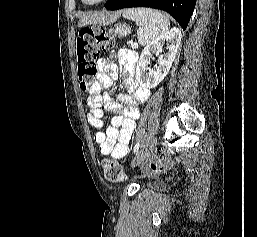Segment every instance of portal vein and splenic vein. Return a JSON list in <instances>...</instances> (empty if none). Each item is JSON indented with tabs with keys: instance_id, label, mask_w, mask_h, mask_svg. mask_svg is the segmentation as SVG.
<instances>
[{
	"instance_id": "1",
	"label": "portal vein and splenic vein",
	"mask_w": 257,
	"mask_h": 237,
	"mask_svg": "<svg viewBox=\"0 0 257 237\" xmlns=\"http://www.w3.org/2000/svg\"><path fill=\"white\" fill-rule=\"evenodd\" d=\"M131 46H132V48H133V49H135V48H137V47H138V44H137V43H132V45H131Z\"/></svg>"
}]
</instances>
